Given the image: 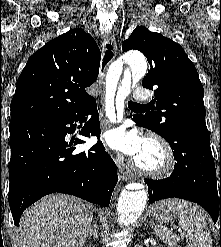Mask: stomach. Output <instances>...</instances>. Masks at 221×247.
<instances>
[{
  "label": "stomach",
  "instance_id": "0dacf381",
  "mask_svg": "<svg viewBox=\"0 0 221 247\" xmlns=\"http://www.w3.org/2000/svg\"><path fill=\"white\" fill-rule=\"evenodd\" d=\"M178 199H169L158 202L151 210L152 217L158 220L169 221L178 214L177 205L181 203Z\"/></svg>",
  "mask_w": 221,
  "mask_h": 247
}]
</instances>
